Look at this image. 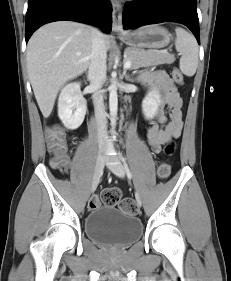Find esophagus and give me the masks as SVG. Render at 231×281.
Returning a JSON list of instances; mask_svg holds the SVG:
<instances>
[{
  "instance_id": "esophagus-1",
  "label": "esophagus",
  "mask_w": 231,
  "mask_h": 281,
  "mask_svg": "<svg viewBox=\"0 0 231 281\" xmlns=\"http://www.w3.org/2000/svg\"><path fill=\"white\" fill-rule=\"evenodd\" d=\"M113 24L112 29L115 32H123L122 25V7L118 0H111Z\"/></svg>"
}]
</instances>
